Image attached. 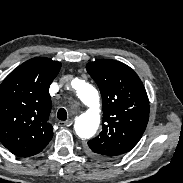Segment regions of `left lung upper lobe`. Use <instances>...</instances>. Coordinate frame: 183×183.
<instances>
[{
  "instance_id": "left-lung-upper-lobe-1",
  "label": "left lung upper lobe",
  "mask_w": 183,
  "mask_h": 183,
  "mask_svg": "<svg viewBox=\"0 0 183 183\" xmlns=\"http://www.w3.org/2000/svg\"><path fill=\"white\" fill-rule=\"evenodd\" d=\"M102 96L100 134L88 141L89 153L114 159L129 152L142 137L149 119V101L138 75L126 64L97 60L86 65Z\"/></svg>"
}]
</instances>
